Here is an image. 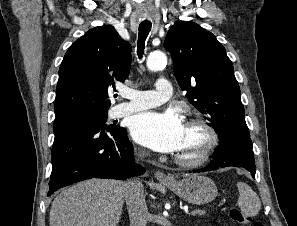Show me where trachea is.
Returning a JSON list of instances; mask_svg holds the SVG:
<instances>
[{
    "mask_svg": "<svg viewBox=\"0 0 297 226\" xmlns=\"http://www.w3.org/2000/svg\"><path fill=\"white\" fill-rule=\"evenodd\" d=\"M151 26L152 24L149 21H143L139 25V37L137 42V54L139 58H142L144 53L145 41L151 31Z\"/></svg>",
    "mask_w": 297,
    "mask_h": 226,
    "instance_id": "1",
    "label": "trachea"
}]
</instances>
